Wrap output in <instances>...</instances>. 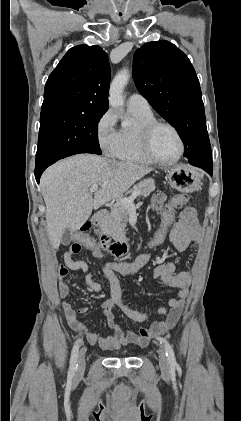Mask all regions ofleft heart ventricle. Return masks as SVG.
Segmentation results:
<instances>
[{
    "mask_svg": "<svg viewBox=\"0 0 241 421\" xmlns=\"http://www.w3.org/2000/svg\"><path fill=\"white\" fill-rule=\"evenodd\" d=\"M152 149L160 159L171 160L178 155L180 144L171 129L159 127L153 134Z\"/></svg>",
    "mask_w": 241,
    "mask_h": 421,
    "instance_id": "left-heart-ventricle-1",
    "label": "left heart ventricle"
}]
</instances>
